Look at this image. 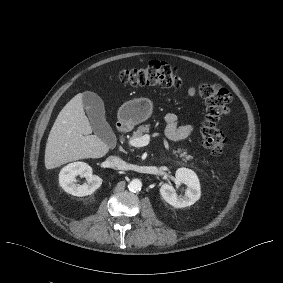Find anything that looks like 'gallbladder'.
Wrapping results in <instances>:
<instances>
[{"label": "gallbladder", "mask_w": 283, "mask_h": 283, "mask_svg": "<svg viewBox=\"0 0 283 283\" xmlns=\"http://www.w3.org/2000/svg\"><path fill=\"white\" fill-rule=\"evenodd\" d=\"M83 108L89 117L94 133L109 146L116 145V136L105 118V108L103 100L94 92L86 91L82 93Z\"/></svg>", "instance_id": "gallbladder-1"}]
</instances>
